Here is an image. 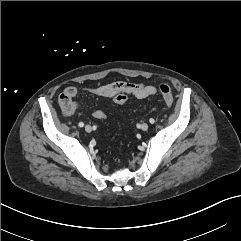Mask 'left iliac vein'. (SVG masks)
<instances>
[{"label": "left iliac vein", "mask_w": 241, "mask_h": 241, "mask_svg": "<svg viewBox=\"0 0 241 241\" xmlns=\"http://www.w3.org/2000/svg\"><path fill=\"white\" fill-rule=\"evenodd\" d=\"M148 124L147 123H143V124H141V126H140V128H141V130H143V131H147L148 130Z\"/></svg>", "instance_id": "1"}]
</instances>
